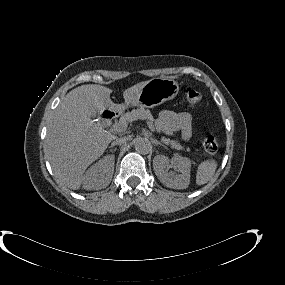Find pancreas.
<instances>
[{
    "label": "pancreas",
    "mask_w": 285,
    "mask_h": 285,
    "mask_svg": "<svg viewBox=\"0 0 285 285\" xmlns=\"http://www.w3.org/2000/svg\"><path fill=\"white\" fill-rule=\"evenodd\" d=\"M147 120L150 124L153 122V116L151 112L147 109L145 110L143 107L138 108L136 110H132L131 112L125 113L118 121L115 122L113 128L115 130L116 126L119 124H125L127 125L129 122H132L134 120ZM118 131V130H117ZM162 142L166 145H169L171 148L177 149V150H185V147L179 143L177 140H171L167 137H162ZM187 152L190 151L189 148L186 149Z\"/></svg>",
    "instance_id": "1"
}]
</instances>
